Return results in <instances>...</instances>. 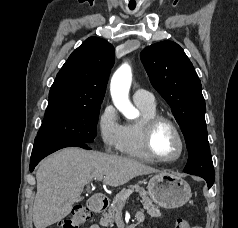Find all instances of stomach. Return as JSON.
Returning <instances> with one entry per match:
<instances>
[{"instance_id":"1","label":"stomach","mask_w":238,"mask_h":228,"mask_svg":"<svg viewBox=\"0 0 238 228\" xmlns=\"http://www.w3.org/2000/svg\"><path fill=\"white\" fill-rule=\"evenodd\" d=\"M148 194L160 207L165 209L179 208L191 198L189 184L170 172H158L148 182Z\"/></svg>"}]
</instances>
